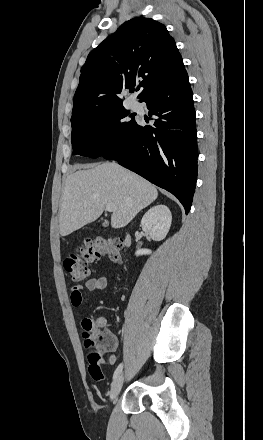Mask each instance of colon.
<instances>
[{"mask_svg": "<svg viewBox=\"0 0 263 440\" xmlns=\"http://www.w3.org/2000/svg\"><path fill=\"white\" fill-rule=\"evenodd\" d=\"M122 249L123 241L119 238L95 241L87 239L65 259V270L74 282L83 281L89 276V264L98 261L104 255H107L114 263L120 264ZM96 320L85 318L82 328L90 374L95 380L100 381L104 378L100 365L112 341V335L98 327Z\"/></svg>", "mask_w": 263, "mask_h": 440, "instance_id": "obj_1", "label": "colon"}]
</instances>
